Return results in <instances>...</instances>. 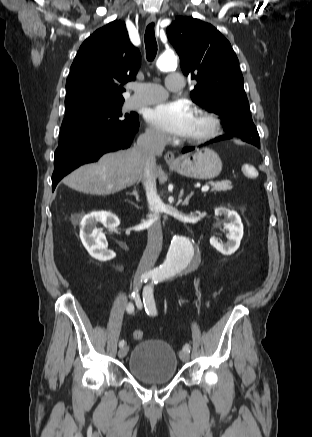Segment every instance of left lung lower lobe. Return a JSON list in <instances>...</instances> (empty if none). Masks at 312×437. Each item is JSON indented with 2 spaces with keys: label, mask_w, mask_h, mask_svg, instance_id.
Segmentation results:
<instances>
[{
  "label": "left lung lower lobe",
  "mask_w": 312,
  "mask_h": 437,
  "mask_svg": "<svg viewBox=\"0 0 312 437\" xmlns=\"http://www.w3.org/2000/svg\"><path fill=\"white\" fill-rule=\"evenodd\" d=\"M230 138L231 137L224 135V136H220L218 138H215V139H213V140H211V141H209V142H207L205 144H209V143L216 142V141H221V140H226V139H230ZM252 144L257 146L258 148L260 147V143H252ZM193 149H194V147H186V148L183 149V153L192 151Z\"/></svg>",
  "instance_id": "left-lung-lower-lobe-1"
}]
</instances>
